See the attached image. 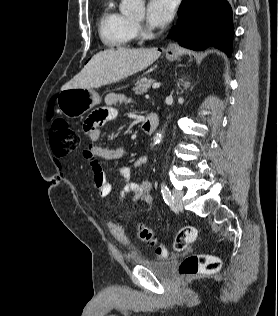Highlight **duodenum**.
<instances>
[{"instance_id":"410a0bca","label":"duodenum","mask_w":278,"mask_h":316,"mask_svg":"<svg viewBox=\"0 0 278 316\" xmlns=\"http://www.w3.org/2000/svg\"><path fill=\"white\" fill-rule=\"evenodd\" d=\"M159 124V118L155 113L148 114L142 122V130L146 134H152Z\"/></svg>"}]
</instances>
